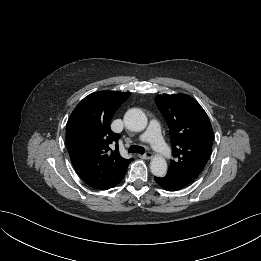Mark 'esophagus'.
Segmentation results:
<instances>
[{"label": "esophagus", "instance_id": "1", "mask_svg": "<svg viewBox=\"0 0 261 261\" xmlns=\"http://www.w3.org/2000/svg\"><path fill=\"white\" fill-rule=\"evenodd\" d=\"M139 157L142 159H151L153 157V154L150 151H148L143 155H139Z\"/></svg>", "mask_w": 261, "mask_h": 261}]
</instances>
